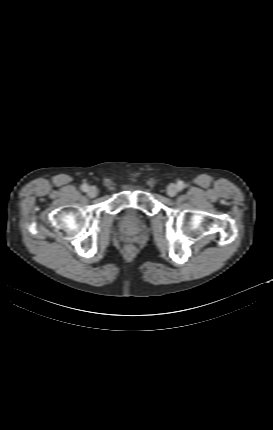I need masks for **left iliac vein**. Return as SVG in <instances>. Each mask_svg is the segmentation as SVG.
<instances>
[{
	"mask_svg": "<svg viewBox=\"0 0 273 430\" xmlns=\"http://www.w3.org/2000/svg\"><path fill=\"white\" fill-rule=\"evenodd\" d=\"M178 193V188L174 184H170L167 188V194L171 197L175 196Z\"/></svg>",
	"mask_w": 273,
	"mask_h": 430,
	"instance_id": "4c4485c4",
	"label": "left iliac vein"
}]
</instances>
